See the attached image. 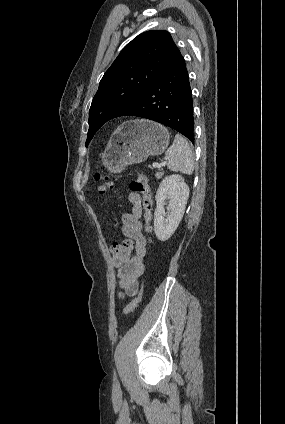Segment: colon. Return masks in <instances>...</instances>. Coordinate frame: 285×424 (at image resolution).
Masks as SVG:
<instances>
[{"mask_svg": "<svg viewBox=\"0 0 285 424\" xmlns=\"http://www.w3.org/2000/svg\"><path fill=\"white\" fill-rule=\"evenodd\" d=\"M94 179L99 183L98 191L101 194H106L114 190V184L109 177L100 169L97 168L94 173ZM130 188L133 192L141 193L143 196V203L146 210V220L149 222L151 219V210L153 207L152 196L148 186L147 178L141 174H137L135 179L131 182ZM148 232L151 228L147 226ZM132 251V243L129 240L123 242H114L110 245V253L113 263L115 265L121 264L130 257ZM141 301V295L136 296L125 308V314H131L135 311Z\"/></svg>", "mask_w": 285, "mask_h": 424, "instance_id": "1", "label": "colon"}]
</instances>
